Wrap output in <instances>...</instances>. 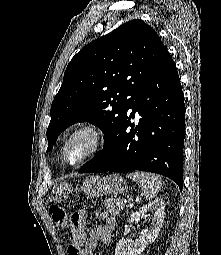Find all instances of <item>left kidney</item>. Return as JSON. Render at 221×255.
Returning <instances> with one entry per match:
<instances>
[{"instance_id": "1", "label": "left kidney", "mask_w": 221, "mask_h": 255, "mask_svg": "<svg viewBox=\"0 0 221 255\" xmlns=\"http://www.w3.org/2000/svg\"><path fill=\"white\" fill-rule=\"evenodd\" d=\"M164 210L163 199L157 198L134 212L129 218L130 223L150 217L152 220L151 226L143 229L139 239L134 242L119 240L115 248V255H140L146 246L157 238L164 221Z\"/></svg>"}]
</instances>
